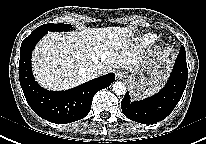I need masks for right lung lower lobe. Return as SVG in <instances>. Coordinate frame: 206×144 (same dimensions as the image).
<instances>
[{"label":"right lung lower lobe","instance_id":"1","mask_svg":"<svg viewBox=\"0 0 206 144\" xmlns=\"http://www.w3.org/2000/svg\"><path fill=\"white\" fill-rule=\"evenodd\" d=\"M46 31H33L20 48L19 79L24 96L32 110L41 118L56 124H66L88 115L93 96L115 80L113 73L101 76L67 91H47L34 79L31 54Z\"/></svg>","mask_w":206,"mask_h":144}]
</instances>
